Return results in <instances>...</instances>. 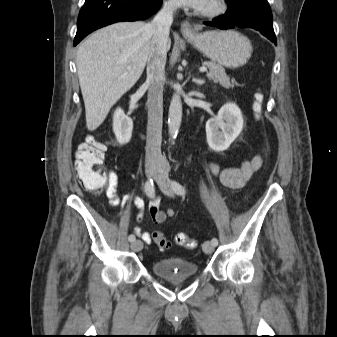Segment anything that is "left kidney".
Listing matches in <instances>:
<instances>
[{"instance_id": "5707ae66", "label": "left kidney", "mask_w": 337, "mask_h": 337, "mask_svg": "<svg viewBox=\"0 0 337 337\" xmlns=\"http://www.w3.org/2000/svg\"><path fill=\"white\" fill-rule=\"evenodd\" d=\"M243 129L241 110L234 103H226L219 110L217 116L206 123L207 143L209 147L222 152L239 136Z\"/></svg>"}]
</instances>
